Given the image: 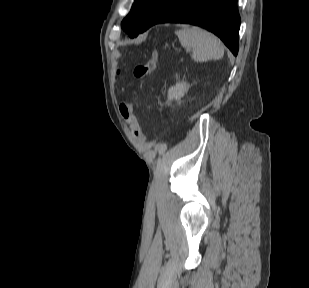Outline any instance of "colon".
<instances>
[{
    "instance_id": "5ec220e1",
    "label": "colon",
    "mask_w": 309,
    "mask_h": 288,
    "mask_svg": "<svg viewBox=\"0 0 309 288\" xmlns=\"http://www.w3.org/2000/svg\"><path fill=\"white\" fill-rule=\"evenodd\" d=\"M157 59H158L157 52L155 50H152L148 59L135 67L133 72L134 77L137 80H144L145 78L150 76L156 69ZM133 109H134L133 105H123L120 108V112L122 116L132 124L136 139L140 142H143L144 135L140 129V126L133 112Z\"/></svg>"
}]
</instances>
